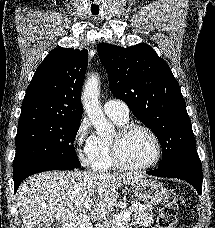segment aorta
<instances>
[{
  "instance_id": "1",
  "label": "aorta",
  "mask_w": 215,
  "mask_h": 228,
  "mask_svg": "<svg viewBox=\"0 0 215 228\" xmlns=\"http://www.w3.org/2000/svg\"><path fill=\"white\" fill-rule=\"evenodd\" d=\"M97 86L98 82H96V78L94 76L91 78L90 76V80L86 82L84 92H82L81 100L84 110L96 130V134L102 136V134H107L112 126L107 122L105 114H103V110L98 102Z\"/></svg>"
}]
</instances>
